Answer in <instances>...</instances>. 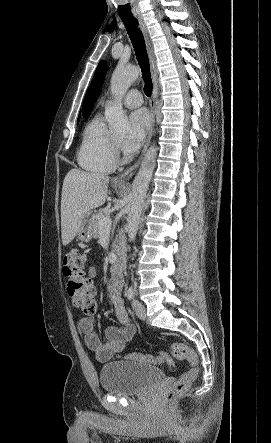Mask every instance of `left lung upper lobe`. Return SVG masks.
<instances>
[{"label":"left lung upper lobe","instance_id":"left-lung-upper-lobe-1","mask_svg":"<svg viewBox=\"0 0 271 443\" xmlns=\"http://www.w3.org/2000/svg\"><path fill=\"white\" fill-rule=\"evenodd\" d=\"M107 73V64L106 61H101L95 71L93 80L87 90L85 95L84 103H83V116L87 117L94 106V103L98 99L101 88L103 85V81L105 79Z\"/></svg>","mask_w":271,"mask_h":443}]
</instances>
